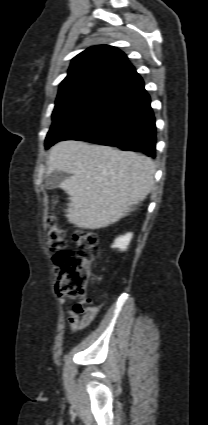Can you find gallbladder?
I'll list each match as a JSON object with an SVG mask.
<instances>
[{"mask_svg": "<svg viewBox=\"0 0 208 425\" xmlns=\"http://www.w3.org/2000/svg\"><path fill=\"white\" fill-rule=\"evenodd\" d=\"M67 174L62 171H54L50 173L45 181V187L47 189H55L60 186V184L65 181Z\"/></svg>", "mask_w": 208, "mask_h": 425, "instance_id": "1", "label": "gallbladder"}]
</instances>
